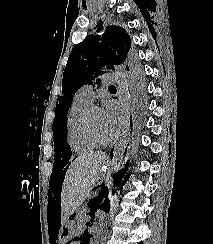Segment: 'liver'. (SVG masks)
Returning a JSON list of instances; mask_svg holds the SVG:
<instances>
[{
    "instance_id": "1",
    "label": "liver",
    "mask_w": 213,
    "mask_h": 244,
    "mask_svg": "<svg viewBox=\"0 0 213 244\" xmlns=\"http://www.w3.org/2000/svg\"><path fill=\"white\" fill-rule=\"evenodd\" d=\"M105 153L82 154L69 166L61 191L62 221L65 222L90 194Z\"/></svg>"
}]
</instances>
